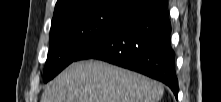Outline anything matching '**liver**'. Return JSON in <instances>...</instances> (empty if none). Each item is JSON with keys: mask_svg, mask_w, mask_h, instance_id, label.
Masks as SVG:
<instances>
[{"mask_svg": "<svg viewBox=\"0 0 221 102\" xmlns=\"http://www.w3.org/2000/svg\"><path fill=\"white\" fill-rule=\"evenodd\" d=\"M163 86L98 60L71 64L46 88L41 102H158Z\"/></svg>", "mask_w": 221, "mask_h": 102, "instance_id": "1", "label": "liver"}]
</instances>
